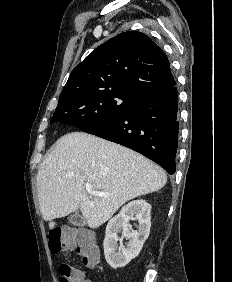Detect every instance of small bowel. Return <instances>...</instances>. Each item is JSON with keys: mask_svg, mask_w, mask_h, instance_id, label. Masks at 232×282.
<instances>
[{"mask_svg": "<svg viewBox=\"0 0 232 282\" xmlns=\"http://www.w3.org/2000/svg\"><path fill=\"white\" fill-rule=\"evenodd\" d=\"M76 274L80 277V282H91V280L85 278L84 273L81 270L76 269Z\"/></svg>", "mask_w": 232, "mask_h": 282, "instance_id": "c3829d8e", "label": "small bowel"}]
</instances>
